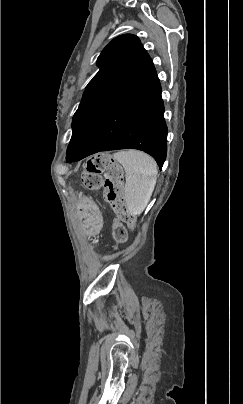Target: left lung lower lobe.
Masks as SVG:
<instances>
[{
	"instance_id": "left-lung-lower-lobe-1",
	"label": "left lung lower lobe",
	"mask_w": 243,
	"mask_h": 404,
	"mask_svg": "<svg viewBox=\"0 0 243 404\" xmlns=\"http://www.w3.org/2000/svg\"><path fill=\"white\" fill-rule=\"evenodd\" d=\"M128 148L148 153L162 168L167 153V126L156 74L106 110L67 162L100 151Z\"/></svg>"
}]
</instances>
